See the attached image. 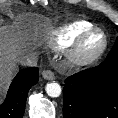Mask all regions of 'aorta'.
Segmentation results:
<instances>
[{"label":"aorta","instance_id":"aorta-1","mask_svg":"<svg viewBox=\"0 0 118 118\" xmlns=\"http://www.w3.org/2000/svg\"><path fill=\"white\" fill-rule=\"evenodd\" d=\"M45 90L48 96L53 98L59 97L62 92L61 86L56 82L47 83Z\"/></svg>","mask_w":118,"mask_h":118}]
</instances>
